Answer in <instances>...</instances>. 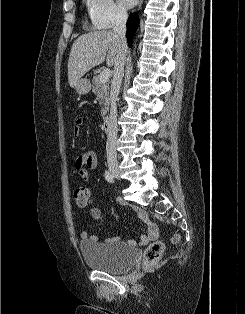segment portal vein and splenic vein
Segmentation results:
<instances>
[{
    "label": "portal vein and splenic vein",
    "mask_w": 245,
    "mask_h": 314,
    "mask_svg": "<svg viewBox=\"0 0 245 314\" xmlns=\"http://www.w3.org/2000/svg\"><path fill=\"white\" fill-rule=\"evenodd\" d=\"M110 75H111V71L109 68L103 69L102 73L100 74V81L102 83L107 82L110 78Z\"/></svg>",
    "instance_id": "18ae733b"
}]
</instances>
